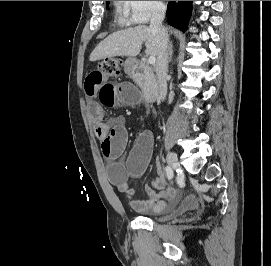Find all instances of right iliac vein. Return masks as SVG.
Here are the masks:
<instances>
[{
	"label": "right iliac vein",
	"instance_id": "1",
	"mask_svg": "<svg viewBox=\"0 0 271 266\" xmlns=\"http://www.w3.org/2000/svg\"><path fill=\"white\" fill-rule=\"evenodd\" d=\"M167 162L171 167L178 166V158L174 152H169L167 155Z\"/></svg>",
	"mask_w": 271,
	"mask_h": 266
}]
</instances>
